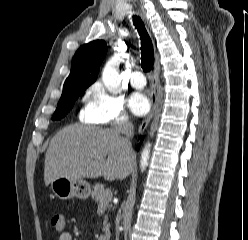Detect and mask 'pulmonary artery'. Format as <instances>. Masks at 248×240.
Listing matches in <instances>:
<instances>
[{
    "mask_svg": "<svg viewBox=\"0 0 248 240\" xmlns=\"http://www.w3.org/2000/svg\"><path fill=\"white\" fill-rule=\"evenodd\" d=\"M130 82L133 87L142 88L146 83L145 76L141 71H133L130 74Z\"/></svg>",
    "mask_w": 248,
    "mask_h": 240,
    "instance_id": "e3ab8cb5",
    "label": "pulmonary artery"
}]
</instances>
